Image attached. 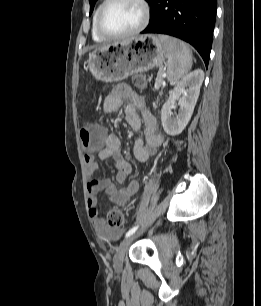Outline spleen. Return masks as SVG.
Wrapping results in <instances>:
<instances>
[{
	"instance_id": "1",
	"label": "spleen",
	"mask_w": 261,
	"mask_h": 306,
	"mask_svg": "<svg viewBox=\"0 0 261 306\" xmlns=\"http://www.w3.org/2000/svg\"><path fill=\"white\" fill-rule=\"evenodd\" d=\"M164 45L167 58V77L170 82L182 79L192 67V52L182 41L167 36L159 35Z\"/></svg>"
}]
</instances>
